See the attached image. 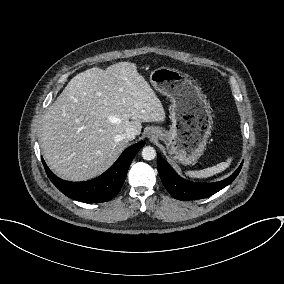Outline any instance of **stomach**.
<instances>
[{
	"mask_svg": "<svg viewBox=\"0 0 284 284\" xmlns=\"http://www.w3.org/2000/svg\"><path fill=\"white\" fill-rule=\"evenodd\" d=\"M150 82L172 103L170 130L158 128L170 158L183 165L195 163L205 150L213 126L206 96L188 74L172 68L155 69Z\"/></svg>",
	"mask_w": 284,
	"mask_h": 284,
	"instance_id": "0dacf381",
	"label": "stomach"
}]
</instances>
